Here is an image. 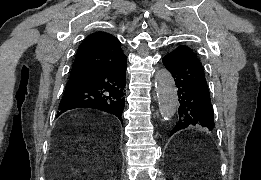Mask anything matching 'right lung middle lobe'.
<instances>
[{"instance_id": "dd1d6c3e", "label": "right lung middle lobe", "mask_w": 261, "mask_h": 180, "mask_svg": "<svg viewBox=\"0 0 261 180\" xmlns=\"http://www.w3.org/2000/svg\"><path fill=\"white\" fill-rule=\"evenodd\" d=\"M74 83H69V84H67L66 85V89H65V92H67V91H69V90H71V89H73L74 88Z\"/></svg>"}]
</instances>
